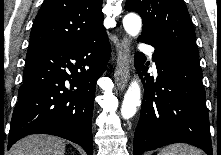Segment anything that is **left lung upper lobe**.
I'll return each mask as SVG.
<instances>
[{"label":"left lung upper lobe","instance_id":"left-lung-upper-lobe-1","mask_svg":"<svg viewBox=\"0 0 221 155\" xmlns=\"http://www.w3.org/2000/svg\"><path fill=\"white\" fill-rule=\"evenodd\" d=\"M125 9L141 16L143 30L140 38L199 53L183 0H127Z\"/></svg>","mask_w":221,"mask_h":155}]
</instances>
